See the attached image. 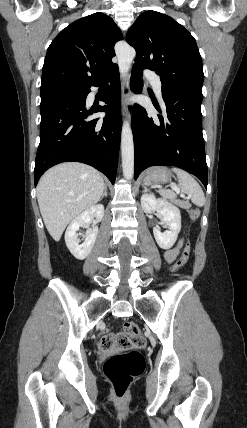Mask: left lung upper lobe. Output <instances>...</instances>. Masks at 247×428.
I'll list each match as a JSON object with an SVG mask.
<instances>
[{"instance_id": "obj_1", "label": "left lung upper lobe", "mask_w": 247, "mask_h": 428, "mask_svg": "<svg viewBox=\"0 0 247 428\" xmlns=\"http://www.w3.org/2000/svg\"><path fill=\"white\" fill-rule=\"evenodd\" d=\"M136 50L133 67L155 71L162 89L203 97L202 58L193 36L173 18L149 10L126 35Z\"/></svg>"}]
</instances>
